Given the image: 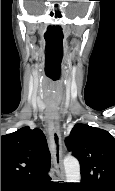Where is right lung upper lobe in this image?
<instances>
[{"mask_svg":"<svg viewBox=\"0 0 115 191\" xmlns=\"http://www.w3.org/2000/svg\"><path fill=\"white\" fill-rule=\"evenodd\" d=\"M50 153L45 135L28 126L1 136V186H23L48 178Z\"/></svg>","mask_w":115,"mask_h":191,"instance_id":"1","label":"right lung upper lobe"}]
</instances>
